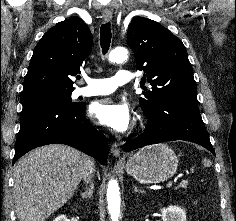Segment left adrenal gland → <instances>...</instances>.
Listing matches in <instances>:
<instances>
[{
    "mask_svg": "<svg viewBox=\"0 0 236 221\" xmlns=\"http://www.w3.org/2000/svg\"><path fill=\"white\" fill-rule=\"evenodd\" d=\"M134 193H144L145 191L142 189H139L136 185H133Z\"/></svg>",
    "mask_w": 236,
    "mask_h": 221,
    "instance_id": "a2214340",
    "label": "left adrenal gland"
}]
</instances>
